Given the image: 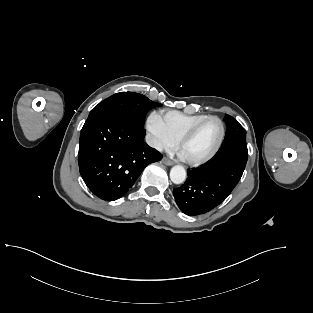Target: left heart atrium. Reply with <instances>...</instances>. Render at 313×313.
<instances>
[{"mask_svg": "<svg viewBox=\"0 0 313 313\" xmlns=\"http://www.w3.org/2000/svg\"><path fill=\"white\" fill-rule=\"evenodd\" d=\"M182 158H184V156L182 154H180Z\"/></svg>", "mask_w": 313, "mask_h": 313, "instance_id": "1", "label": "left heart atrium"}]
</instances>
